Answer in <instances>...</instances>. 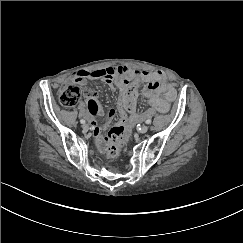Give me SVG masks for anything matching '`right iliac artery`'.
<instances>
[{"label":"right iliac artery","mask_w":243,"mask_h":243,"mask_svg":"<svg viewBox=\"0 0 243 243\" xmlns=\"http://www.w3.org/2000/svg\"><path fill=\"white\" fill-rule=\"evenodd\" d=\"M80 122H81L82 124H84V123H85V120H84V119H81Z\"/></svg>","instance_id":"obj_1"}]
</instances>
